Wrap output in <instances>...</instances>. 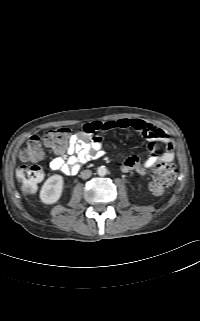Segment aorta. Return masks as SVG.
<instances>
[{
  "label": "aorta",
  "instance_id": "762f6f07",
  "mask_svg": "<svg viewBox=\"0 0 200 321\" xmlns=\"http://www.w3.org/2000/svg\"><path fill=\"white\" fill-rule=\"evenodd\" d=\"M97 173L99 176H105L107 174V168L105 166H100L97 169Z\"/></svg>",
  "mask_w": 200,
  "mask_h": 321
}]
</instances>
